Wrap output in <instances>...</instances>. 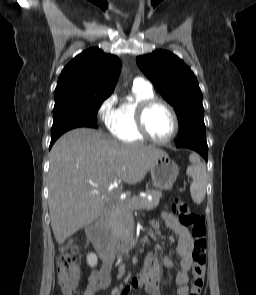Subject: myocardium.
Returning a JSON list of instances; mask_svg holds the SVG:
<instances>
[{
    "mask_svg": "<svg viewBox=\"0 0 256 295\" xmlns=\"http://www.w3.org/2000/svg\"><path fill=\"white\" fill-rule=\"evenodd\" d=\"M155 105H162L165 108H167V110L170 112L172 119H173V123H174L173 131H172L171 135L165 139H158V138L154 137L148 129L146 117H147L149 110L152 107H154ZM136 124H137V128H138L139 132L146 139H148L151 142L157 143V144H166V143L170 142L177 135L178 130H179V119H178L175 109L167 101H165L161 98H157V97L146 99L138 104L137 109H136Z\"/></svg>",
    "mask_w": 256,
    "mask_h": 295,
    "instance_id": "1",
    "label": "myocardium"
}]
</instances>
